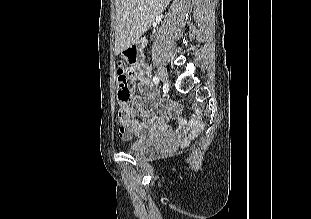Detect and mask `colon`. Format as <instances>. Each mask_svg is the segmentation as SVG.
Masks as SVG:
<instances>
[{"instance_id":"obj_1","label":"colon","mask_w":311,"mask_h":219,"mask_svg":"<svg viewBox=\"0 0 311 219\" xmlns=\"http://www.w3.org/2000/svg\"><path fill=\"white\" fill-rule=\"evenodd\" d=\"M127 56L130 62H134L135 59L127 50ZM133 86L131 82L130 70L125 67H119L117 70V100L120 106H126L132 96Z\"/></svg>"}]
</instances>
